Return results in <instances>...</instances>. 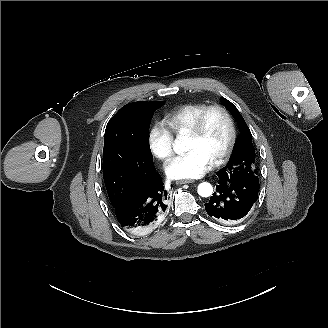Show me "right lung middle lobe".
Returning <instances> with one entry per match:
<instances>
[{"mask_svg": "<svg viewBox=\"0 0 328 328\" xmlns=\"http://www.w3.org/2000/svg\"><path fill=\"white\" fill-rule=\"evenodd\" d=\"M163 104V101L127 104L106 126L103 179L113 207L130 190L147 186L156 171L148 130L152 112Z\"/></svg>", "mask_w": 328, "mask_h": 328, "instance_id": "dd1d6c3e", "label": "right lung middle lobe"}]
</instances>
